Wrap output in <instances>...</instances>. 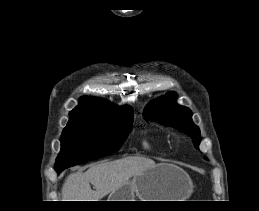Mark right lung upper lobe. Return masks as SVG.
Here are the masks:
<instances>
[{
  "instance_id": "right-lung-upper-lobe-1",
  "label": "right lung upper lobe",
  "mask_w": 259,
  "mask_h": 211,
  "mask_svg": "<svg viewBox=\"0 0 259 211\" xmlns=\"http://www.w3.org/2000/svg\"><path fill=\"white\" fill-rule=\"evenodd\" d=\"M133 114V109L127 106H114L100 98L81 97L80 105L74 108L70 115H89L96 117H110Z\"/></svg>"
}]
</instances>
